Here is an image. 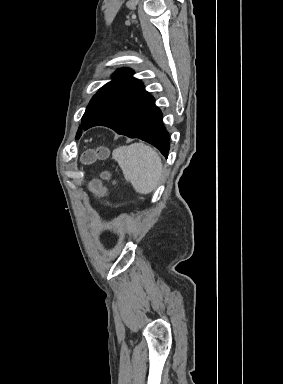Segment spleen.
<instances>
[{"label": "spleen", "instance_id": "spleen-1", "mask_svg": "<svg viewBox=\"0 0 283 384\" xmlns=\"http://www.w3.org/2000/svg\"><path fill=\"white\" fill-rule=\"evenodd\" d=\"M113 160L118 162L127 182L138 194H150L162 176V162L151 146L131 144L113 150Z\"/></svg>", "mask_w": 283, "mask_h": 384}]
</instances>
